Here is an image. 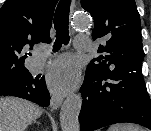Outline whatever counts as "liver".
Listing matches in <instances>:
<instances>
[{
	"mask_svg": "<svg viewBox=\"0 0 151 131\" xmlns=\"http://www.w3.org/2000/svg\"><path fill=\"white\" fill-rule=\"evenodd\" d=\"M42 109L24 99L15 97L0 98V131H25Z\"/></svg>",
	"mask_w": 151,
	"mask_h": 131,
	"instance_id": "liver-1",
	"label": "liver"
}]
</instances>
